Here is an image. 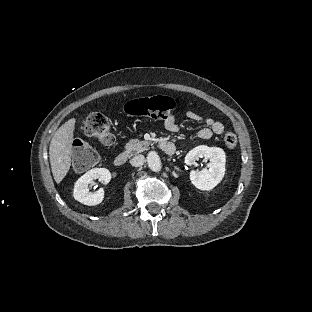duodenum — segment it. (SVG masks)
<instances>
[{"instance_id":"410a0bca","label":"duodenum","mask_w":312,"mask_h":312,"mask_svg":"<svg viewBox=\"0 0 312 312\" xmlns=\"http://www.w3.org/2000/svg\"><path fill=\"white\" fill-rule=\"evenodd\" d=\"M159 147L167 155H175L177 153V148L175 144L170 141H165V140L160 141ZM128 157H129V154L125 151L119 153L114 159L115 166L123 167L125 163L127 162Z\"/></svg>"}]
</instances>
